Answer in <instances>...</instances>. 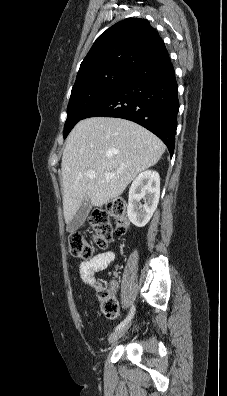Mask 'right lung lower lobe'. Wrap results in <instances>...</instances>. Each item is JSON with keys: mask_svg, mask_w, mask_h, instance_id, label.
Wrapping results in <instances>:
<instances>
[{"mask_svg": "<svg viewBox=\"0 0 227 396\" xmlns=\"http://www.w3.org/2000/svg\"><path fill=\"white\" fill-rule=\"evenodd\" d=\"M175 72L166 48L144 60L84 118L103 116L133 121L157 135L170 155L179 110Z\"/></svg>", "mask_w": 227, "mask_h": 396, "instance_id": "98d812e1", "label": "right lung lower lobe"}]
</instances>
